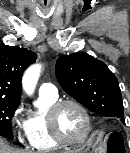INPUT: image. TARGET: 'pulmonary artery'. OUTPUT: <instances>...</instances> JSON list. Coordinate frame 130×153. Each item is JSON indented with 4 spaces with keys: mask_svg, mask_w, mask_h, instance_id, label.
I'll use <instances>...</instances> for the list:
<instances>
[{
    "mask_svg": "<svg viewBox=\"0 0 130 153\" xmlns=\"http://www.w3.org/2000/svg\"><path fill=\"white\" fill-rule=\"evenodd\" d=\"M39 95H48L55 97L58 95L57 88L54 84L46 82L39 87Z\"/></svg>",
    "mask_w": 130,
    "mask_h": 153,
    "instance_id": "e3ab8cb5",
    "label": "pulmonary artery"
}]
</instances>
